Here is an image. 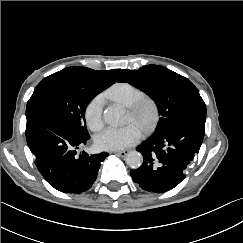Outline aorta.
Returning a JSON list of instances; mask_svg holds the SVG:
<instances>
[{
  "label": "aorta",
  "instance_id": "762f6f07",
  "mask_svg": "<svg viewBox=\"0 0 243 243\" xmlns=\"http://www.w3.org/2000/svg\"><path fill=\"white\" fill-rule=\"evenodd\" d=\"M104 120L110 125H119L123 122L124 111L118 105H110L104 111ZM126 163L132 169H137L142 165L143 157L138 151H131L127 154Z\"/></svg>",
  "mask_w": 243,
  "mask_h": 243
}]
</instances>
